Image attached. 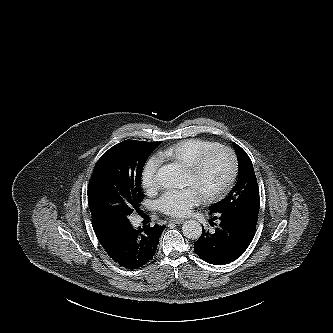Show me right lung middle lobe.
<instances>
[{"label":"right lung middle lobe","instance_id":"dd1d6c3e","mask_svg":"<svg viewBox=\"0 0 333 333\" xmlns=\"http://www.w3.org/2000/svg\"><path fill=\"white\" fill-rule=\"evenodd\" d=\"M158 145L130 140L113 146L100 157L88 186L93 228L128 222L126 217L144 199L140 188L142 169Z\"/></svg>","mask_w":333,"mask_h":333}]
</instances>
